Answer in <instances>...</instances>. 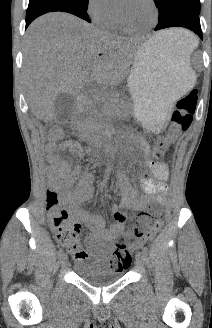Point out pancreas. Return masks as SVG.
<instances>
[{"label":"pancreas","mask_w":212,"mask_h":328,"mask_svg":"<svg viewBox=\"0 0 212 328\" xmlns=\"http://www.w3.org/2000/svg\"><path fill=\"white\" fill-rule=\"evenodd\" d=\"M97 102L103 104L102 111H98L94 108V105ZM128 107L129 104L119 99L117 92H104L100 94L98 98L90 100L82 107L79 115L74 121V127L88 139H100V129L104 117L119 113L121 109H126Z\"/></svg>","instance_id":"pancreas-1"}]
</instances>
